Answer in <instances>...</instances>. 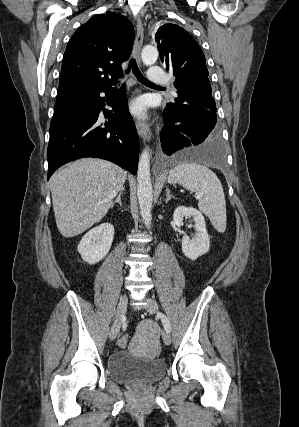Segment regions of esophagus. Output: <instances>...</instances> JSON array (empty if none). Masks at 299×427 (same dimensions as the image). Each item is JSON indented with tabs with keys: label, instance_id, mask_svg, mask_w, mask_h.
<instances>
[{
	"label": "esophagus",
	"instance_id": "esophagus-1",
	"mask_svg": "<svg viewBox=\"0 0 299 427\" xmlns=\"http://www.w3.org/2000/svg\"><path fill=\"white\" fill-rule=\"evenodd\" d=\"M137 24H136V37L134 42V57L136 58L137 62L140 64V50L143 44V26L140 18H136ZM135 126L137 129L138 134L144 141H148L151 138V132L148 124L144 121H135Z\"/></svg>",
	"mask_w": 299,
	"mask_h": 427
}]
</instances>
